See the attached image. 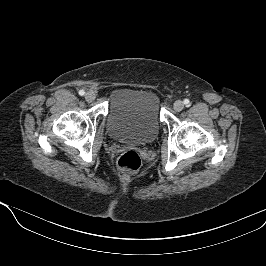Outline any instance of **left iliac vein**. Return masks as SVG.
I'll return each mask as SVG.
<instances>
[{
	"mask_svg": "<svg viewBox=\"0 0 266 266\" xmlns=\"http://www.w3.org/2000/svg\"><path fill=\"white\" fill-rule=\"evenodd\" d=\"M173 108L175 111L180 112L184 108V103L181 100L175 101Z\"/></svg>",
	"mask_w": 266,
	"mask_h": 266,
	"instance_id": "4c4485c4",
	"label": "left iliac vein"
}]
</instances>
